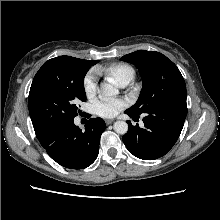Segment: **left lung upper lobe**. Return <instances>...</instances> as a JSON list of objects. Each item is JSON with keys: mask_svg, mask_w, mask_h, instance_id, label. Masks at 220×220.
Returning <instances> with one entry per match:
<instances>
[{"mask_svg": "<svg viewBox=\"0 0 220 220\" xmlns=\"http://www.w3.org/2000/svg\"><path fill=\"white\" fill-rule=\"evenodd\" d=\"M140 69L143 87L137 102L127 111L148 113L161 104L186 101V85L177 66L156 51L138 50L122 57Z\"/></svg>", "mask_w": 220, "mask_h": 220, "instance_id": "5c2ea615", "label": "left lung upper lobe"}]
</instances>
